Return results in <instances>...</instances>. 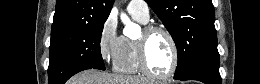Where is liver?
<instances>
[{
    "label": "liver",
    "mask_w": 260,
    "mask_h": 84,
    "mask_svg": "<svg viewBox=\"0 0 260 84\" xmlns=\"http://www.w3.org/2000/svg\"><path fill=\"white\" fill-rule=\"evenodd\" d=\"M71 84H150V81L142 77L112 75L90 69L75 75Z\"/></svg>",
    "instance_id": "6515ba94"
}]
</instances>
